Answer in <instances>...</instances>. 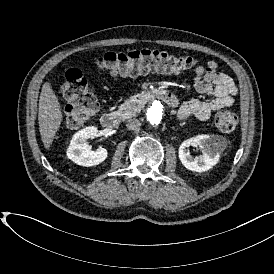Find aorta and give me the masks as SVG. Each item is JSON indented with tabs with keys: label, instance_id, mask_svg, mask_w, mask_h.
I'll list each match as a JSON object with an SVG mask.
<instances>
[{
	"label": "aorta",
	"instance_id": "1",
	"mask_svg": "<svg viewBox=\"0 0 274 274\" xmlns=\"http://www.w3.org/2000/svg\"><path fill=\"white\" fill-rule=\"evenodd\" d=\"M147 120L152 126L162 125L166 120L165 107L160 101H153L152 105L148 108Z\"/></svg>",
	"mask_w": 274,
	"mask_h": 274
}]
</instances>
